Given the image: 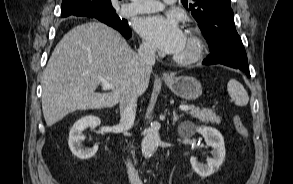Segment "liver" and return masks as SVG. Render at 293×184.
Masks as SVG:
<instances>
[{"mask_svg":"<svg viewBox=\"0 0 293 184\" xmlns=\"http://www.w3.org/2000/svg\"><path fill=\"white\" fill-rule=\"evenodd\" d=\"M100 76L114 89L95 93ZM149 80L119 32L100 22L78 25L57 44L43 72L45 122L51 127L76 110L112 107L128 89L144 93Z\"/></svg>","mask_w":293,"mask_h":184,"instance_id":"1","label":"liver"}]
</instances>
